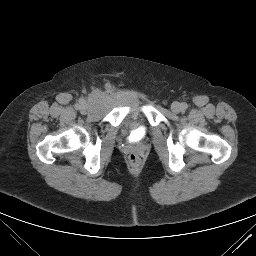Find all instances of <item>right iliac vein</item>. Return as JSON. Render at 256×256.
Returning <instances> with one entry per match:
<instances>
[{"label": "right iliac vein", "instance_id": "63e3f726", "mask_svg": "<svg viewBox=\"0 0 256 256\" xmlns=\"http://www.w3.org/2000/svg\"><path fill=\"white\" fill-rule=\"evenodd\" d=\"M80 110H81V113L86 114V113L90 110L89 104L84 102V103L81 105Z\"/></svg>", "mask_w": 256, "mask_h": 256}]
</instances>
